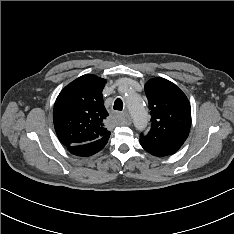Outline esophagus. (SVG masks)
<instances>
[{
  "label": "esophagus",
  "instance_id": "34e87169",
  "mask_svg": "<svg viewBox=\"0 0 234 234\" xmlns=\"http://www.w3.org/2000/svg\"><path fill=\"white\" fill-rule=\"evenodd\" d=\"M120 116L123 119V121L125 122V124H127V125L131 124V118H130L128 113L123 112L120 114Z\"/></svg>",
  "mask_w": 234,
  "mask_h": 234
}]
</instances>
